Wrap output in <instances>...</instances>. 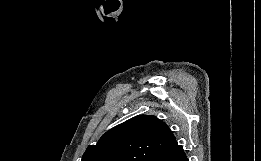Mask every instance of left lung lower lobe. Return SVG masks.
<instances>
[{
	"mask_svg": "<svg viewBox=\"0 0 261 161\" xmlns=\"http://www.w3.org/2000/svg\"><path fill=\"white\" fill-rule=\"evenodd\" d=\"M151 161H188L183 148L176 140L167 147L160 149Z\"/></svg>",
	"mask_w": 261,
	"mask_h": 161,
	"instance_id": "1",
	"label": "left lung lower lobe"
}]
</instances>
